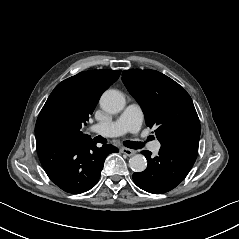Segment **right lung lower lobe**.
I'll return each mask as SVG.
<instances>
[{
	"label": "right lung lower lobe",
	"mask_w": 239,
	"mask_h": 239,
	"mask_svg": "<svg viewBox=\"0 0 239 239\" xmlns=\"http://www.w3.org/2000/svg\"><path fill=\"white\" fill-rule=\"evenodd\" d=\"M36 148L50 180L72 194L86 192L95 186L106 156L118 152L112 145L98 148L91 137L78 140L48 137L37 141Z\"/></svg>",
	"instance_id": "right-lung-lower-lobe-1"
}]
</instances>
